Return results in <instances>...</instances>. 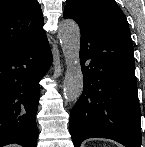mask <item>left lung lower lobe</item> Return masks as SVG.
I'll return each instance as SVG.
<instances>
[{"mask_svg": "<svg viewBox=\"0 0 145 147\" xmlns=\"http://www.w3.org/2000/svg\"><path fill=\"white\" fill-rule=\"evenodd\" d=\"M81 30L84 89L70 113L75 147L88 138H108L125 147L141 146V110L134 49L128 24L90 20L71 12Z\"/></svg>", "mask_w": 145, "mask_h": 147, "instance_id": "obj_1", "label": "left lung lower lobe"}]
</instances>
